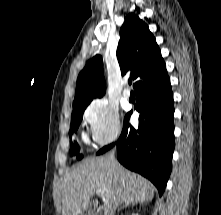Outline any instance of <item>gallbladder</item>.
Instances as JSON below:
<instances>
[{"instance_id":"gallbladder-1","label":"gallbladder","mask_w":221,"mask_h":215,"mask_svg":"<svg viewBox=\"0 0 221 215\" xmlns=\"http://www.w3.org/2000/svg\"><path fill=\"white\" fill-rule=\"evenodd\" d=\"M94 214H95V204L92 202H89L83 215H94Z\"/></svg>"}]
</instances>
